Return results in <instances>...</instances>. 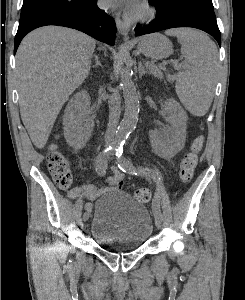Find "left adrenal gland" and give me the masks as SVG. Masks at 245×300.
Wrapping results in <instances>:
<instances>
[{
    "instance_id": "left-adrenal-gland-1",
    "label": "left adrenal gland",
    "mask_w": 245,
    "mask_h": 300,
    "mask_svg": "<svg viewBox=\"0 0 245 300\" xmlns=\"http://www.w3.org/2000/svg\"><path fill=\"white\" fill-rule=\"evenodd\" d=\"M138 70H139V78L140 79H142L143 75L150 74V72L144 68L143 61L139 62V64H138Z\"/></svg>"
}]
</instances>
